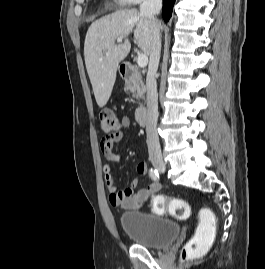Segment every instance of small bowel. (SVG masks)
<instances>
[{
  "instance_id": "1",
  "label": "small bowel",
  "mask_w": 265,
  "mask_h": 269,
  "mask_svg": "<svg viewBox=\"0 0 265 269\" xmlns=\"http://www.w3.org/2000/svg\"><path fill=\"white\" fill-rule=\"evenodd\" d=\"M122 126L127 128L131 125L130 118L125 116L121 120ZM124 136L121 131L119 134L104 137L101 141V152L107 161L103 167L105 186L109 193V203L113 207H121L126 210H139L147 202L148 198L158 192L161 185L158 182H151L146 188L136 190L137 179H134L130 186L118 191L111 172L110 163H116L120 160L121 155L114 151V145L119 142ZM147 164L140 161L136 165L138 176H144L147 173Z\"/></svg>"
}]
</instances>
